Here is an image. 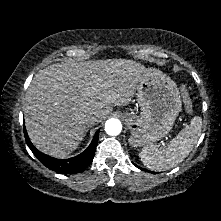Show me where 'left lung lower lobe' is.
Wrapping results in <instances>:
<instances>
[{
	"mask_svg": "<svg viewBox=\"0 0 221 221\" xmlns=\"http://www.w3.org/2000/svg\"><path fill=\"white\" fill-rule=\"evenodd\" d=\"M134 164V163H133ZM135 165V164H134ZM136 167L140 168L139 166L135 165ZM141 169V168H140Z\"/></svg>",
	"mask_w": 221,
	"mask_h": 221,
	"instance_id": "left-lung-lower-lobe-1",
	"label": "left lung lower lobe"
}]
</instances>
